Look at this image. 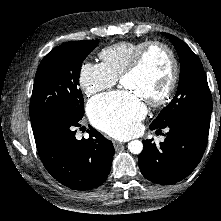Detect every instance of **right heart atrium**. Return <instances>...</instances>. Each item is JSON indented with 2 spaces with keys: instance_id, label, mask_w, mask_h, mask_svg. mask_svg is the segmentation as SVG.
Masks as SVG:
<instances>
[{
  "instance_id": "1",
  "label": "right heart atrium",
  "mask_w": 221,
  "mask_h": 221,
  "mask_svg": "<svg viewBox=\"0 0 221 221\" xmlns=\"http://www.w3.org/2000/svg\"><path fill=\"white\" fill-rule=\"evenodd\" d=\"M79 80L82 89L88 96L110 89L117 83V78L107 71L102 63L90 61L83 63Z\"/></svg>"
}]
</instances>
